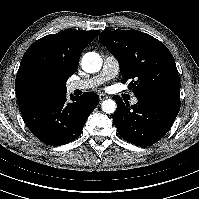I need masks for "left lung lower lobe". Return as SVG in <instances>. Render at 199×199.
Listing matches in <instances>:
<instances>
[{
    "label": "left lung lower lobe",
    "instance_id": "obj_1",
    "mask_svg": "<svg viewBox=\"0 0 199 199\" xmlns=\"http://www.w3.org/2000/svg\"><path fill=\"white\" fill-rule=\"evenodd\" d=\"M117 109L113 122L119 135L126 141L142 147L159 141L171 128L181 103L168 99L138 96L131 107L114 96Z\"/></svg>",
    "mask_w": 199,
    "mask_h": 199
}]
</instances>
